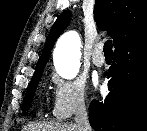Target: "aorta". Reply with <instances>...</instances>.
Wrapping results in <instances>:
<instances>
[{"label": "aorta", "instance_id": "aorta-1", "mask_svg": "<svg viewBox=\"0 0 147 131\" xmlns=\"http://www.w3.org/2000/svg\"><path fill=\"white\" fill-rule=\"evenodd\" d=\"M81 41L79 35L70 31L63 34L54 50V66L56 72L65 79H73L80 68Z\"/></svg>", "mask_w": 147, "mask_h": 131}]
</instances>
